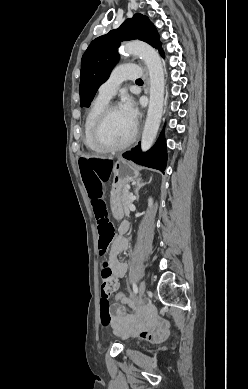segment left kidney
<instances>
[{
	"instance_id": "1",
	"label": "left kidney",
	"mask_w": 248,
	"mask_h": 389,
	"mask_svg": "<svg viewBox=\"0 0 248 389\" xmlns=\"http://www.w3.org/2000/svg\"><path fill=\"white\" fill-rule=\"evenodd\" d=\"M148 206H150V207L152 206V198L148 199Z\"/></svg>"
}]
</instances>
